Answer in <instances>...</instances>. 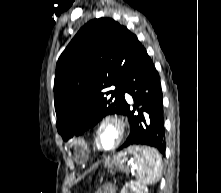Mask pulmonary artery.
<instances>
[{"instance_id":"1","label":"pulmonary artery","mask_w":221,"mask_h":193,"mask_svg":"<svg viewBox=\"0 0 221 193\" xmlns=\"http://www.w3.org/2000/svg\"><path fill=\"white\" fill-rule=\"evenodd\" d=\"M125 96H126V98L128 99V100H130L131 99V97H130V95L129 94H125Z\"/></svg>"}]
</instances>
